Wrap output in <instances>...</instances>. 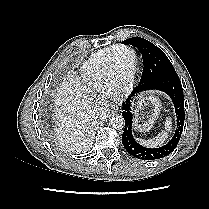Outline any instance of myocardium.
<instances>
[{
    "mask_svg": "<svg viewBox=\"0 0 209 209\" xmlns=\"http://www.w3.org/2000/svg\"><path fill=\"white\" fill-rule=\"evenodd\" d=\"M128 50L133 54V63L130 69L129 74L120 79L116 75V58L118 54L122 51ZM136 75V53L135 50L127 45H120L111 55L109 65L107 68L106 75V89H108L113 95H123L127 93L135 79Z\"/></svg>",
    "mask_w": 209,
    "mask_h": 209,
    "instance_id": "f54148a6",
    "label": "myocardium"
}]
</instances>
